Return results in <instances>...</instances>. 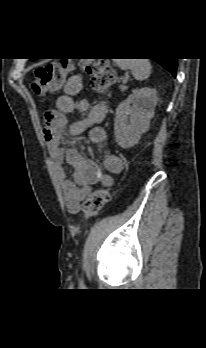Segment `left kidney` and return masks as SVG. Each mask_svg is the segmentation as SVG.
<instances>
[{
  "instance_id": "left-kidney-1",
  "label": "left kidney",
  "mask_w": 206,
  "mask_h": 348,
  "mask_svg": "<svg viewBox=\"0 0 206 348\" xmlns=\"http://www.w3.org/2000/svg\"><path fill=\"white\" fill-rule=\"evenodd\" d=\"M158 97L155 89L143 87L134 90L122 101L115 114L114 135L121 148H131L138 143L154 116Z\"/></svg>"
}]
</instances>
